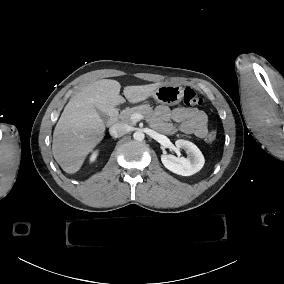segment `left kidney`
<instances>
[{
  "label": "left kidney",
  "mask_w": 284,
  "mask_h": 284,
  "mask_svg": "<svg viewBox=\"0 0 284 284\" xmlns=\"http://www.w3.org/2000/svg\"><path fill=\"white\" fill-rule=\"evenodd\" d=\"M175 146L187 152L188 157L177 158L170 154H161L162 164L169 171L182 176H190L199 172L204 166V157L198 147L186 140H177Z\"/></svg>",
  "instance_id": "1"
}]
</instances>
